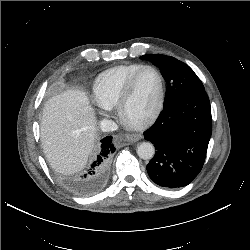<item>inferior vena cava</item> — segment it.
I'll return each instance as SVG.
<instances>
[{
  "instance_id": "obj_1",
  "label": "inferior vena cava",
  "mask_w": 250,
  "mask_h": 250,
  "mask_svg": "<svg viewBox=\"0 0 250 250\" xmlns=\"http://www.w3.org/2000/svg\"><path fill=\"white\" fill-rule=\"evenodd\" d=\"M117 128H118L117 124L114 121H112V120L103 119L100 122V129L103 132L115 131V130H117Z\"/></svg>"
}]
</instances>
